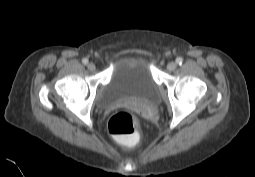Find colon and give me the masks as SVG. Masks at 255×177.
Here are the masks:
<instances>
[{
	"label": "colon",
	"mask_w": 255,
	"mask_h": 177,
	"mask_svg": "<svg viewBox=\"0 0 255 177\" xmlns=\"http://www.w3.org/2000/svg\"><path fill=\"white\" fill-rule=\"evenodd\" d=\"M108 130L120 142L133 145L138 140L140 127L132 113L119 111L110 118Z\"/></svg>",
	"instance_id": "obj_1"
}]
</instances>
